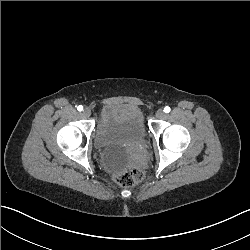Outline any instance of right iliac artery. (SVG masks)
Instances as JSON below:
<instances>
[{
    "label": "right iliac artery",
    "instance_id": "1",
    "mask_svg": "<svg viewBox=\"0 0 250 250\" xmlns=\"http://www.w3.org/2000/svg\"><path fill=\"white\" fill-rule=\"evenodd\" d=\"M77 110H78V111H82V110H83V106H82V105H79V106L77 107Z\"/></svg>",
    "mask_w": 250,
    "mask_h": 250
}]
</instances>
